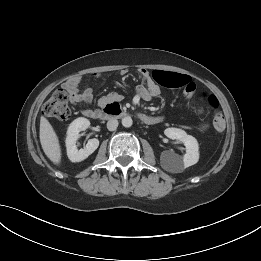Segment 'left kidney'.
<instances>
[{"mask_svg": "<svg viewBox=\"0 0 261 261\" xmlns=\"http://www.w3.org/2000/svg\"><path fill=\"white\" fill-rule=\"evenodd\" d=\"M164 134L170 139L181 141L186 147V154L183 157L169 151L162 152L160 161L164 169L171 172H180L198 162L199 147L197 140L193 136L178 128H167Z\"/></svg>", "mask_w": 261, "mask_h": 261, "instance_id": "5707ae66", "label": "left kidney"}]
</instances>
